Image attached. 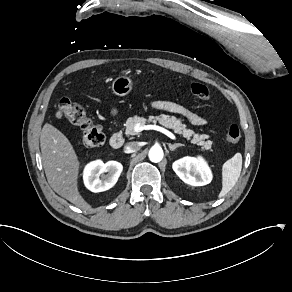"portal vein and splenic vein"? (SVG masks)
Segmentation results:
<instances>
[{
	"instance_id": "18ae733b",
	"label": "portal vein and splenic vein",
	"mask_w": 292,
	"mask_h": 292,
	"mask_svg": "<svg viewBox=\"0 0 292 292\" xmlns=\"http://www.w3.org/2000/svg\"><path fill=\"white\" fill-rule=\"evenodd\" d=\"M134 130L136 132H141L143 130H156V131L162 132L163 134L167 135L171 139H175V136L170 131H168L165 128L158 126V125H144V126H142L140 124H136L134 127Z\"/></svg>"
}]
</instances>
